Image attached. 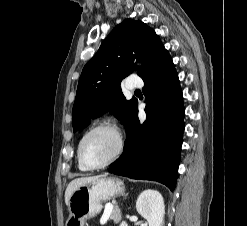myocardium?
<instances>
[{
  "mask_svg": "<svg viewBox=\"0 0 247 226\" xmlns=\"http://www.w3.org/2000/svg\"><path fill=\"white\" fill-rule=\"evenodd\" d=\"M109 130L111 132H113L116 136L117 139V147L115 152L113 153V155L104 163L99 164V165H88L84 158H83V154H82V148H83V143L85 141V139L92 134L95 131L98 130ZM124 150V138L122 135V132L120 131L119 127L113 123V122H109V121H104L101 122L95 126H93L92 128H90L87 132H85V134L82 136L79 145H78V151H77V155H78V160L81 163V165L87 169V170H98V169H102L105 168L109 165H111L112 163H114L123 153Z\"/></svg>",
  "mask_w": 247,
  "mask_h": 226,
  "instance_id": "myocardium-1",
  "label": "myocardium"
}]
</instances>
